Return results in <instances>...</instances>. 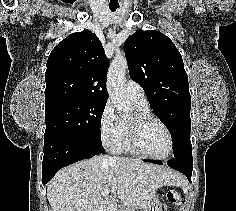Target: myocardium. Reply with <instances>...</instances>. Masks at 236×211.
I'll return each mask as SVG.
<instances>
[{"label": "myocardium", "instance_id": "1", "mask_svg": "<svg viewBox=\"0 0 236 211\" xmlns=\"http://www.w3.org/2000/svg\"><path fill=\"white\" fill-rule=\"evenodd\" d=\"M150 122H154L162 126V128L165 130L168 136L169 149L167 153L162 156L149 154L143 151L138 145L137 142L138 127L148 124ZM125 140L126 144L132 150L133 153L145 158L159 159V160L166 159L172 154L174 149L173 136L168 126L153 114L142 110H135V112L133 113V118L125 120Z\"/></svg>", "mask_w": 236, "mask_h": 211}]
</instances>
